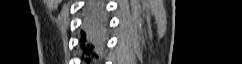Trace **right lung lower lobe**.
I'll list each match as a JSON object with an SVG mask.
<instances>
[{
	"mask_svg": "<svg viewBox=\"0 0 242 64\" xmlns=\"http://www.w3.org/2000/svg\"><path fill=\"white\" fill-rule=\"evenodd\" d=\"M106 17L99 2L88 6L81 36L80 48L88 64L98 58L97 53L105 40Z\"/></svg>",
	"mask_w": 242,
	"mask_h": 64,
	"instance_id": "obj_1",
	"label": "right lung lower lobe"
}]
</instances>
